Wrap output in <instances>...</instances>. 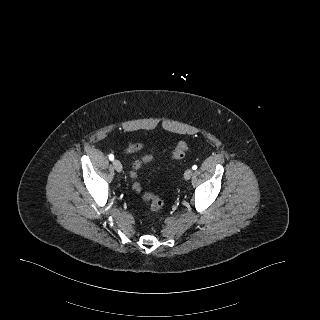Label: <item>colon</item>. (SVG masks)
<instances>
[{"label": "colon", "mask_w": 320, "mask_h": 320, "mask_svg": "<svg viewBox=\"0 0 320 320\" xmlns=\"http://www.w3.org/2000/svg\"><path fill=\"white\" fill-rule=\"evenodd\" d=\"M142 144L140 143H132L126 148V153H136L142 149ZM188 150V143L186 141H179L172 151L170 155V159L172 160H180L182 159ZM154 160L152 155H145L142 158L136 160L132 165V170L130 172L131 177L134 180L133 188L136 192L141 193L142 197L149 204V209L151 213H157L163 207L162 199L154 192H147L143 189L142 185L138 181V173L139 170L145 164H148Z\"/></svg>", "instance_id": "5ec220e1"}]
</instances>
